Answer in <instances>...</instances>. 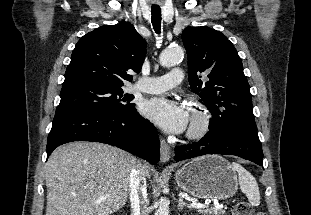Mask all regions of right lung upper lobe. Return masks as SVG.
Segmentation results:
<instances>
[{
	"mask_svg": "<svg viewBox=\"0 0 311 215\" xmlns=\"http://www.w3.org/2000/svg\"><path fill=\"white\" fill-rule=\"evenodd\" d=\"M146 55V42L134 26L122 21L85 34L76 44L62 86L94 83L121 87L139 73Z\"/></svg>",
	"mask_w": 311,
	"mask_h": 215,
	"instance_id": "right-lung-upper-lobe-1",
	"label": "right lung upper lobe"
}]
</instances>
